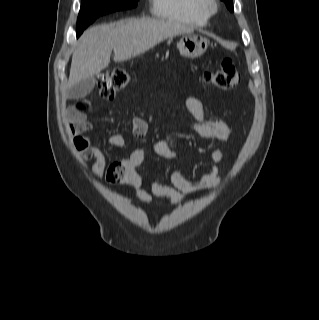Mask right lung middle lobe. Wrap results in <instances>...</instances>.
<instances>
[{
    "instance_id": "dd1d6c3e",
    "label": "right lung middle lobe",
    "mask_w": 319,
    "mask_h": 320,
    "mask_svg": "<svg viewBox=\"0 0 319 320\" xmlns=\"http://www.w3.org/2000/svg\"><path fill=\"white\" fill-rule=\"evenodd\" d=\"M137 1L138 0H82L77 19V35H80L97 17L117 10L134 8L137 6Z\"/></svg>"
}]
</instances>
